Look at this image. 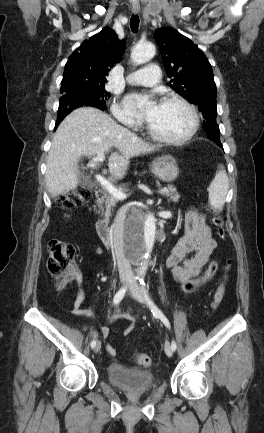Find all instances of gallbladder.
<instances>
[{
    "label": "gallbladder",
    "mask_w": 264,
    "mask_h": 433,
    "mask_svg": "<svg viewBox=\"0 0 264 433\" xmlns=\"http://www.w3.org/2000/svg\"><path fill=\"white\" fill-rule=\"evenodd\" d=\"M79 185L82 188H88V189H92L94 187V185L82 173H79Z\"/></svg>",
    "instance_id": "bac80fb5"
}]
</instances>
